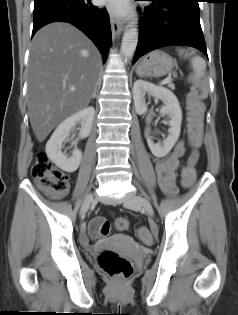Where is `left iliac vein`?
I'll list each match as a JSON object with an SVG mask.
<instances>
[{
    "label": "left iliac vein",
    "mask_w": 238,
    "mask_h": 315,
    "mask_svg": "<svg viewBox=\"0 0 238 315\" xmlns=\"http://www.w3.org/2000/svg\"><path fill=\"white\" fill-rule=\"evenodd\" d=\"M123 205L126 208L136 209V208H143L145 212L150 216L153 217L154 210L151 203L144 197L138 194H131L123 199Z\"/></svg>",
    "instance_id": "4c4485c4"
}]
</instances>
